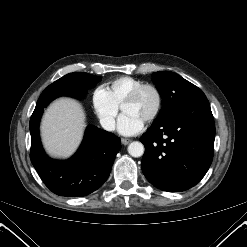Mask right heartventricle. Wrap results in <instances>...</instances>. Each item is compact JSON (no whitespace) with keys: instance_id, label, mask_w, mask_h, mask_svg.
I'll return each instance as SVG.
<instances>
[{"instance_id":"obj_1","label":"right heart ventricle","mask_w":247,"mask_h":247,"mask_svg":"<svg viewBox=\"0 0 247 247\" xmlns=\"http://www.w3.org/2000/svg\"><path fill=\"white\" fill-rule=\"evenodd\" d=\"M144 84L140 79L131 76H122L108 84V90L114 101L120 106L127 96L138 86Z\"/></svg>"}]
</instances>
